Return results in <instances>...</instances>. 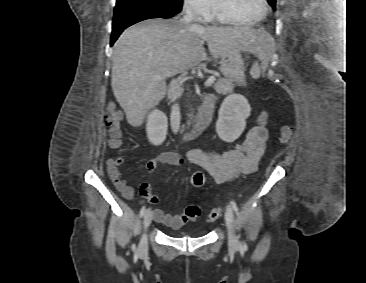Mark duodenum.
I'll list each match as a JSON object with an SVG mask.
<instances>
[{
  "label": "duodenum",
  "mask_w": 366,
  "mask_h": 283,
  "mask_svg": "<svg viewBox=\"0 0 366 283\" xmlns=\"http://www.w3.org/2000/svg\"><path fill=\"white\" fill-rule=\"evenodd\" d=\"M214 106L215 101L211 97H208L203 101L200 112L192 123L195 135L200 134L208 127Z\"/></svg>",
  "instance_id": "410a0bca"
}]
</instances>
